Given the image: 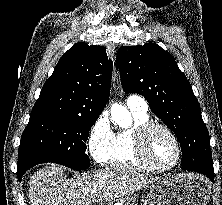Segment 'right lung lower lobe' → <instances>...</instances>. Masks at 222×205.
<instances>
[{
  "mask_svg": "<svg viewBox=\"0 0 222 205\" xmlns=\"http://www.w3.org/2000/svg\"><path fill=\"white\" fill-rule=\"evenodd\" d=\"M44 160L41 159H32L30 161H23V162H18L17 164V177L18 180L21 181L23 174L30 169L31 167L44 163Z\"/></svg>",
  "mask_w": 222,
  "mask_h": 205,
  "instance_id": "obj_1",
  "label": "right lung lower lobe"
}]
</instances>
